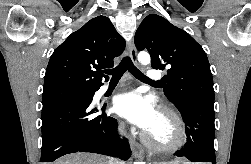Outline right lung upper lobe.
I'll use <instances>...</instances> for the list:
<instances>
[{
    "instance_id": "1",
    "label": "right lung upper lobe",
    "mask_w": 251,
    "mask_h": 164,
    "mask_svg": "<svg viewBox=\"0 0 251 164\" xmlns=\"http://www.w3.org/2000/svg\"><path fill=\"white\" fill-rule=\"evenodd\" d=\"M124 48L125 41L109 18L91 19L53 52L45 73L44 92L65 87L99 89L103 69L112 68L113 59Z\"/></svg>"
}]
</instances>
